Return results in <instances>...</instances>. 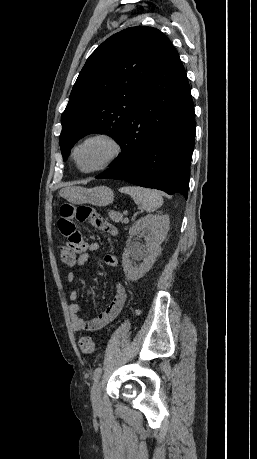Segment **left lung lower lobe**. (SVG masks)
<instances>
[{
    "label": "left lung lower lobe",
    "mask_w": 257,
    "mask_h": 459,
    "mask_svg": "<svg viewBox=\"0 0 257 459\" xmlns=\"http://www.w3.org/2000/svg\"><path fill=\"white\" fill-rule=\"evenodd\" d=\"M195 114L185 69L177 51L169 55L139 96L119 144L121 155L97 179H119L188 195Z\"/></svg>",
    "instance_id": "obj_1"
}]
</instances>
